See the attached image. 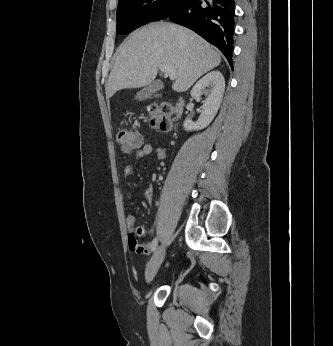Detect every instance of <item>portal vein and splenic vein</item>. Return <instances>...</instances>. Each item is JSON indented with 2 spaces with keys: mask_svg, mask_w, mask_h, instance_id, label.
Returning a JSON list of instances; mask_svg holds the SVG:
<instances>
[{
  "mask_svg": "<svg viewBox=\"0 0 333 346\" xmlns=\"http://www.w3.org/2000/svg\"><path fill=\"white\" fill-rule=\"evenodd\" d=\"M159 68L170 80H175L177 78V73L173 68L164 64L160 65Z\"/></svg>",
  "mask_w": 333,
  "mask_h": 346,
  "instance_id": "1",
  "label": "portal vein and splenic vein"
}]
</instances>
